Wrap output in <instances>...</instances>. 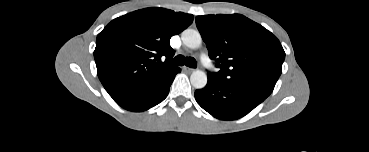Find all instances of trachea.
Masks as SVG:
<instances>
[{
    "mask_svg": "<svg viewBox=\"0 0 369 152\" xmlns=\"http://www.w3.org/2000/svg\"><path fill=\"white\" fill-rule=\"evenodd\" d=\"M172 63L174 65H178V66L186 65L190 68H196L197 67V62L193 57H184L183 55L176 56L173 59Z\"/></svg>",
    "mask_w": 369,
    "mask_h": 152,
    "instance_id": "obj_1",
    "label": "trachea"
}]
</instances>
